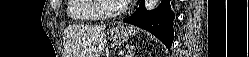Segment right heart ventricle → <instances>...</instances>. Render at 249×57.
I'll return each instance as SVG.
<instances>
[{
	"label": "right heart ventricle",
	"mask_w": 249,
	"mask_h": 57,
	"mask_svg": "<svg viewBox=\"0 0 249 57\" xmlns=\"http://www.w3.org/2000/svg\"><path fill=\"white\" fill-rule=\"evenodd\" d=\"M68 17L75 21H95L101 18L92 0H68Z\"/></svg>",
	"instance_id": "1"
}]
</instances>
